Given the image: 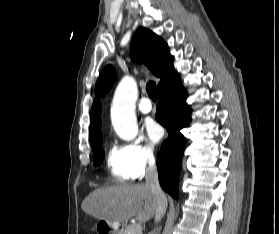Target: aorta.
Segmentation results:
<instances>
[{
    "instance_id": "aorta-1",
    "label": "aorta",
    "mask_w": 279,
    "mask_h": 234,
    "mask_svg": "<svg viewBox=\"0 0 279 234\" xmlns=\"http://www.w3.org/2000/svg\"><path fill=\"white\" fill-rule=\"evenodd\" d=\"M137 93L136 81L125 76L118 84L112 101V126L117 135L127 141L135 139L138 134L135 114Z\"/></svg>"
}]
</instances>
